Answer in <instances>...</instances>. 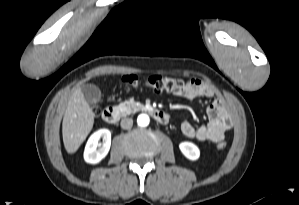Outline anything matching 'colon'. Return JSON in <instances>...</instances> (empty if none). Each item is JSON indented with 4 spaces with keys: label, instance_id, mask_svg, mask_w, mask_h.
I'll use <instances>...</instances> for the list:
<instances>
[{
    "label": "colon",
    "instance_id": "1",
    "mask_svg": "<svg viewBox=\"0 0 299 205\" xmlns=\"http://www.w3.org/2000/svg\"><path fill=\"white\" fill-rule=\"evenodd\" d=\"M122 81L133 87V88H140L143 86L150 87L154 89L155 91L161 92V91H179L182 90L186 83L178 78L173 77H165L161 75H152L146 78L145 80H141L137 76H125L123 77ZM218 149H224L226 147L225 141H219L217 143Z\"/></svg>",
    "mask_w": 299,
    "mask_h": 205
}]
</instances>
